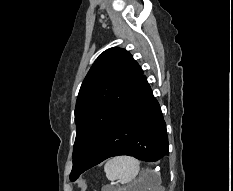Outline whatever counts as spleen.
<instances>
[{"label":"spleen","mask_w":233,"mask_h":191,"mask_svg":"<svg viewBox=\"0 0 233 191\" xmlns=\"http://www.w3.org/2000/svg\"><path fill=\"white\" fill-rule=\"evenodd\" d=\"M104 171L109 180H119L121 184H126L138 175L140 162L130 156H118L106 162ZM148 174L151 175L153 173L148 171L146 175Z\"/></svg>","instance_id":"3e777b00"}]
</instances>
